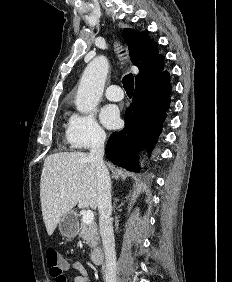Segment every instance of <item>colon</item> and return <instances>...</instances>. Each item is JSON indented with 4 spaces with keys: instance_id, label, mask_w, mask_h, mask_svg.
<instances>
[{
    "instance_id": "1",
    "label": "colon",
    "mask_w": 232,
    "mask_h": 282,
    "mask_svg": "<svg viewBox=\"0 0 232 282\" xmlns=\"http://www.w3.org/2000/svg\"><path fill=\"white\" fill-rule=\"evenodd\" d=\"M47 267L52 277H62L64 271V260L54 248H48L45 252Z\"/></svg>"
}]
</instances>
